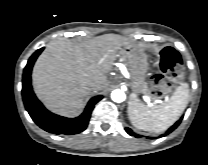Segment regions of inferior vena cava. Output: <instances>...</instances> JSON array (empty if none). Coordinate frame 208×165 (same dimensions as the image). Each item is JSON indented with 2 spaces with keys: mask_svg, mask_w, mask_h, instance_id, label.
I'll use <instances>...</instances> for the list:
<instances>
[{
  "mask_svg": "<svg viewBox=\"0 0 208 165\" xmlns=\"http://www.w3.org/2000/svg\"><path fill=\"white\" fill-rule=\"evenodd\" d=\"M97 89H98V87L96 85H90V86H88V90L89 91H93V90H97Z\"/></svg>",
  "mask_w": 208,
  "mask_h": 165,
  "instance_id": "1",
  "label": "inferior vena cava"
}]
</instances>
